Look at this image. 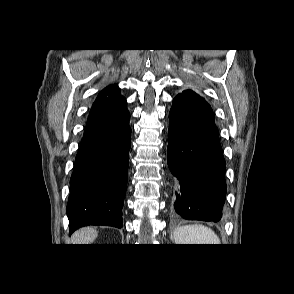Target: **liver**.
I'll return each instance as SVG.
<instances>
[{
	"instance_id": "1",
	"label": "liver",
	"mask_w": 294,
	"mask_h": 294,
	"mask_svg": "<svg viewBox=\"0 0 294 294\" xmlns=\"http://www.w3.org/2000/svg\"><path fill=\"white\" fill-rule=\"evenodd\" d=\"M97 235V231L92 227H84L77 230L72 235L71 240L73 244H90L96 239Z\"/></svg>"
}]
</instances>
